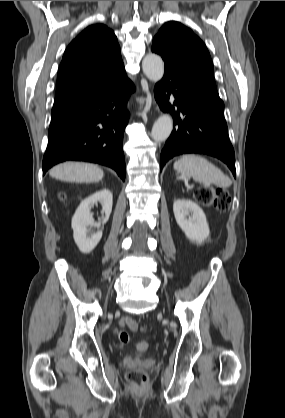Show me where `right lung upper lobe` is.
<instances>
[{
    "mask_svg": "<svg viewBox=\"0 0 285 418\" xmlns=\"http://www.w3.org/2000/svg\"><path fill=\"white\" fill-rule=\"evenodd\" d=\"M126 77L114 32L103 24L84 29L66 48L57 74L53 109H66Z\"/></svg>",
    "mask_w": 285,
    "mask_h": 418,
    "instance_id": "cb5924a9",
    "label": "right lung upper lobe"
}]
</instances>
